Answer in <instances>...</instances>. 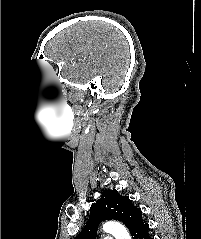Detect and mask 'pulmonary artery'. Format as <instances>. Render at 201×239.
Instances as JSON below:
<instances>
[{
  "mask_svg": "<svg viewBox=\"0 0 201 239\" xmlns=\"http://www.w3.org/2000/svg\"><path fill=\"white\" fill-rule=\"evenodd\" d=\"M103 239H114L112 236H105Z\"/></svg>",
  "mask_w": 201,
  "mask_h": 239,
  "instance_id": "e3ab8cb5",
  "label": "pulmonary artery"
}]
</instances>
